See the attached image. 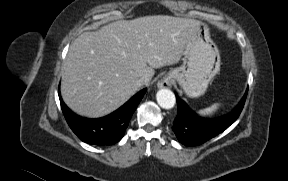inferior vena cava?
I'll list each match as a JSON object with an SVG mask.
<instances>
[{"label": "inferior vena cava", "instance_id": "602c4592", "mask_svg": "<svg viewBox=\"0 0 288 181\" xmlns=\"http://www.w3.org/2000/svg\"><path fill=\"white\" fill-rule=\"evenodd\" d=\"M145 84V80L144 78H139L137 80H135L134 85L139 88L141 86H143Z\"/></svg>", "mask_w": 288, "mask_h": 181}]
</instances>
